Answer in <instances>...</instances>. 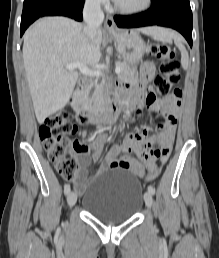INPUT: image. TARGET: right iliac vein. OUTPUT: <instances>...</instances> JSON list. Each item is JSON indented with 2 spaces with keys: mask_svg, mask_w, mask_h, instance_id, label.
<instances>
[{
  "mask_svg": "<svg viewBox=\"0 0 219 258\" xmlns=\"http://www.w3.org/2000/svg\"><path fill=\"white\" fill-rule=\"evenodd\" d=\"M67 202L69 207H73L77 202V195L74 192H70L67 196Z\"/></svg>",
  "mask_w": 219,
  "mask_h": 258,
  "instance_id": "63e3f726",
  "label": "right iliac vein"
}]
</instances>
